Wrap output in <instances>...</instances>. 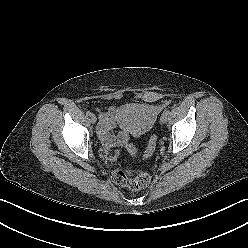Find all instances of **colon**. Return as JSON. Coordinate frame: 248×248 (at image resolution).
<instances>
[{"mask_svg": "<svg viewBox=\"0 0 248 248\" xmlns=\"http://www.w3.org/2000/svg\"><path fill=\"white\" fill-rule=\"evenodd\" d=\"M155 145L156 137L153 136L149 141L146 155H150L153 152ZM128 148L132 152H135V148L132 145H129ZM113 181L117 185L124 186L132 191H137L145 188L148 185L150 178L145 171L125 169L115 171L113 174Z\"/></svg>", "mask_w": 248, "mask_h": 248, "instance_id": "colon-1", "label": "colon"}]
</instances>
